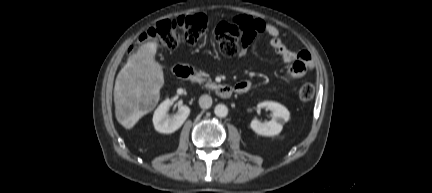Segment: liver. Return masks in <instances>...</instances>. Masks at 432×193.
<instances>
[{
  "mask_svg": "<svg viewBox=\"0 0 432 193\" xmlns=\"http://www.w3.org/2000/svg\"><path fill=\"white\" fill-rule=\"evenodd\" d=\"M156 42L142 45L128 58L117 75L114 87L117 121L131 129L144 115L153 110L160 99L164 84L162 66L155 60Z\"/></svg>",
  "mask_w": 432,
  "mask_h": 193,
  "instance_id": "obj_1",
  "label": "liver"
}]
</instances>
